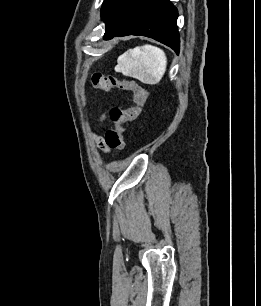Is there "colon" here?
I'll use <instances>...</instances> for the list:
<instances>
[{"mask_svg":"<svg viewBox=\"0 0 261 306\" xmlns=\"http://www.w3.org/2000/svg\"><path fill=\"white\" fill-rule=\"evenodd\" d=\"M92 84L95 88L102 91L119 89L130 91L133 94L135 103L133 107L128 109L113 107L110 110V119L113 122V127L105 135V142L109 148L124 150L126 147L123 136L124 125L140 117L148 102V91L133 79H122L101 73L93 74Z\"/></svg>","mask_w":261,"mask_h":306,"instance_id":"colon-1","label":"colon"}]
</instances>
